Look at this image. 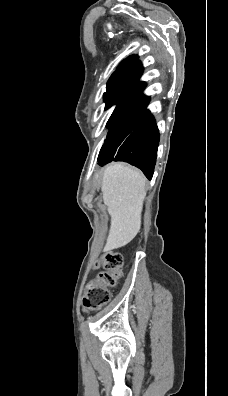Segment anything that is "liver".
Returning <instances> with one entry per match:
<instances>
[{
	"label": "liver",
	"instance_id": "1",
	"mask_svg": "<svg viewBox=\"0 0 228 396\" xmlns=\"http://www.w3.org/2000/svg\"><path fill=\"white\" fill-rule=\"evenodd\" d=\"M101 191L111 217L105 251L125 246L141 228L146 196L145 178L140 171L122 163L109 165L103 174Z\"/></svg>",
	"mask_w": 228,
	"mask_h": 396
}]
</instances>
